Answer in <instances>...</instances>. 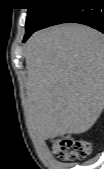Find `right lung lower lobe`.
I'll return each mask as SVG.
<instances>
[{
    "instance_id": "1",
    "label": "right lung lower lobe",
    "mask_w": 104,
    "mask_h": 169,
    "mask_svg": "<svg viewBox=\"0 0 104 169\" xmlns=\"http://www.w3.org/2000/svg\"><path fill=\"white\" fill-rule=\"evenodd\" d=\"M57 6L35 30L27 33L23 41L39 29L61 23H80L104 33V0H55Z\"/></svg>"
}]
</instances>
